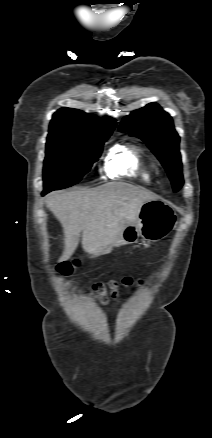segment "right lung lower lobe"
<instances>
[{
    "label": "right lung lower lobe",
    "mask_w": 212,
    "mask_h": 438,
    "mask_svg": "<svg viewBox=\"0 0 212 438\" xmlns=\"http://www.w3.org/2000/svg\"><path fill=\"white\" fill-rule=\"evenodd\" d=\"M51 190L49 188H45L42 192V195L44 196L46 193L50 192Z\"/></svg>",
    "instance_id": "1"
}]
</instances>
